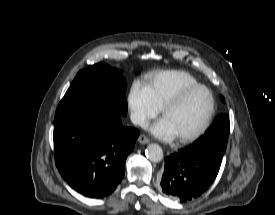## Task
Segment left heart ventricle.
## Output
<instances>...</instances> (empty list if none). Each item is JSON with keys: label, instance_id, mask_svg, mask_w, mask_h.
Instances as JSON below:
<instances>
[{"label": "left heart ventricle", "instance_id": "obj_1", "mask_svg": "<svg viewBox=\"0 0 275 215\" xmlns=\"http://www.w3.org/2000/svg\"><path fill=\"white\" fill-rule=\"evenodd\" d=\"M210 103L208 92L204 89H197L169 110L164 118L169 122L177 137L186 135L202 123L209 111Z\"/></svg>", "mask_w": 275, "mask_h": 215}]
</instances>
